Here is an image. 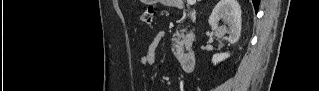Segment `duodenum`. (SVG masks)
<instances>
[{
	"label": "duodenum",
	"mask_w": 319,
	"mask_h": 91,
	"mask_svg": "<svg viewBox=\"0 0 319 91\" xmlns=\"http://www.w3.org/2000/svg\"><path fill=\"white\" fill-rule=\"evenodd\" d=\"M189 18L192 22L196 21L197 15L196 12L190 10L187 12ZM178 61L185 72H190L193 70L196 62V53L193 48H189L187 51L181 53L178 56Z\"/></svg>",
	"instance_id": "duodenum-1"
}]
</instances>
